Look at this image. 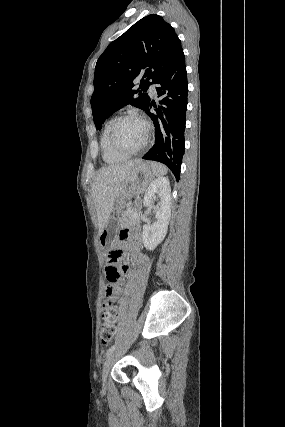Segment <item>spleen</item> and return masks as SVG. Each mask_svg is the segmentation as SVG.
Returning a JSON list of instances; mask_svg holds the SVG:
<instances>
[{"instance_id":"spleen-1","label":"spleen","mask_w":285,"mask_h":427,"mask_svg":"<svg viewBox=\"0 0 285 427\" xmlns=\"http://www.w3.org/2000/svg\"><path fill=\"white\" fill-rule=\"evenodd\" d=\"M150 165L155 176L160 177L167 174L168 170L164 165L157 162H150Z\"/></svg>"}]
</instances>
